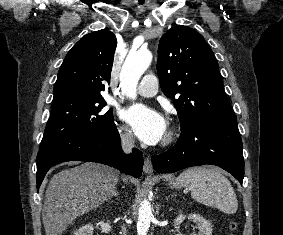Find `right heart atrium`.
Masks as SVG:
<instances>
[{
    "label": "right heart atrium",
    "instance_id": "d8ad5b80",
    "mask_svg": "<svg viewBox=\"0 0 283 235\" xmlns=\"http://www.w3.org/2000/svg\"><path fill=\"white\" fill-rule=\"evenodd\" d=\"M119 134L124 142L130 143L133 141L134 136L131 129L128 126L119 125Z\"/></svg>",
    "mask_w": 283,
    "mask_h": 235
}]
</instances>
